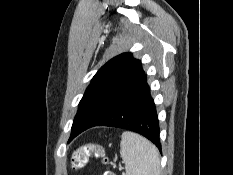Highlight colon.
Listing matches in <instances>:
<instances>
[{"instance_id":"1","label":"colon","mask_w":233,"mask_h":175,"mask_svg":"<svg viewBox=\"0 0 233 175\" xmlns=\"http://www.w3.org/2000/svg\"><path fill=\"white\" fill-rule=\"evenodd\" d=\"M95 156L104 161V163L108 162L106 149L103 144L99 142H89L84 143L76 147L71 154V165L75 169L83 168L89 161L91 156ZM103 175H116L110 169H107Z\"/></svg>"}]
</instances>
